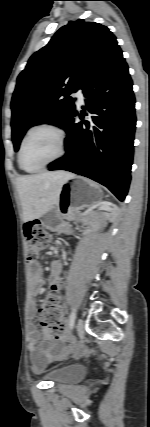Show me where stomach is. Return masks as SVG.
Listing matches in <instances>:
<instances>
[{
    "label": "stomach",
    "instance_id": "obj_1",
    "mask_svg": "<svg viewBox=\"0 0 150 427\" xmlns=\"http://www.w3.org/2000/svg\"><path fill=\"white\" fill-rule=\"evenodd\" d=\"M63 184L54 207L56 217L70 219L79 210L93 206L101 201L102 190L95 183L80 177H74Z\"/></svg>",
    "mask_w": 150,
    "mask_h": 427
}]
</instances>
